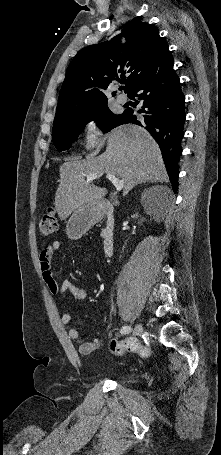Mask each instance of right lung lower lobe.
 <instances>
[{
    "mask_svg": "<svg viewBox=\"0 0 221 455\" xmlns=\"http://www.w3.org/2000/svg\"><path fill=\"white\" fill-rule=\"evenodd\" d=\"M173 57L166 50L156 63L135 84L129 97H138L143 103L136 120L132 109H127L120 124L135 123L151 133L158 143L174 192L178 189V161L182 154L181 142L184 137L185 96L180 81L173 69Z\"/></svg>",
    "mask_w": 221,
    "mask_h": 455,
    "instance_id": "1",
    "label": "right lung lower lobe"
}]
</instances>
